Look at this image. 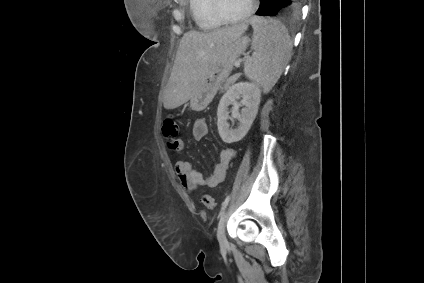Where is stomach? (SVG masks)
<instances>
[{"label": "stomach", "mask_w": 424, "mask_h": 283, "mask_svg": "<svg viewBox=\"0 0 424 283\" xmlns=\"http://www.w3.org/2000/svg\"><path fill=\"white\" fill-rule=\"evenodd\" d=\"M248 36H241L232 41L216 65L205 76L197 92L190 99L193 110L201 111L212 101L221 84L230 75L236 59L244 53L249 44Z\"/></svg>", "instance_id": "obj_1"}]
</instances>
